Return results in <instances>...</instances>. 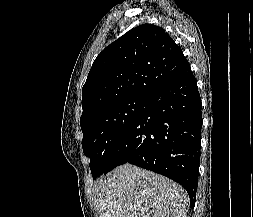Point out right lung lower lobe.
Masks as SVG:
<instances>
[{
    "mask_svg": "<svg viewBox=\"0 0 253 217\" xmlns=\"http://www.w3.org/2000/svg\"><path fill=\"white\" fill-rule=\"evenodd\" d=\"M202 127L201 98L187 62L156 89L123 135L103 174L124 163L181 184L195 205Z\"/></svg>",
    "mask_w": 253,
    "mask_h": 217,
    "instance_id": "98d812e1",
    "label": "right lung lower lobe"
}]
</instances>
